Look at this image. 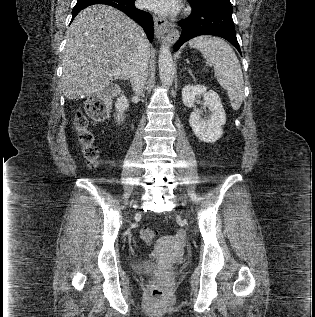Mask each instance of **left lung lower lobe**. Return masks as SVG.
<instances>
[{
  "label": "left lung lower lobe",
  "mask_w": 315,
  "mask_h": 317,
  "mask_svg": "<svg viewBox=\"0 0 315 317\" xmlns=\"http://www.w3.org/2000/svg\"><path fill=\"white\" fill-rule=\"evenodd\" d=\"M191 15L179 21L182 34L174 44L177 51L186 41L200 35H216L229 41L241 54L232 19V9L216 8L211 5L191 4Z\"/></svg>",
  "instance_id": "0a47b994"
}]
</instances>
